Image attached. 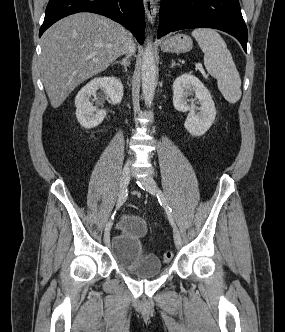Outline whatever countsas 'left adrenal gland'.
Returning <instances> with one entry per match:
<instances>
[{
  "label": "left adrenal gland",
  "mask_w": 285,
  "mask_h": 332,
  "mask_svg": "<svg viewBox=\"0 0 285 332\" xmlns=\"http://www.w3.org/2000/svg\"><path fill=\"white\" fill-rule=\"evenodd\" d=\"M175 65H177V64L175 63V61H174V60H172L171 67H174Z\"/></svg>",
  "instance_id": "left-adrenal-gland-1"
}]
</instances>
